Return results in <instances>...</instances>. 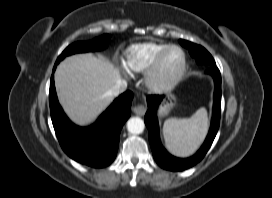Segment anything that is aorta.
Returning a JSON list of instances; mask_svg holds the SVG:
<instances>
[{"label":"aorta","mask_w":272,"mask_h":198,"mask_svg":"<svg viewBox=\"0 0 272 198\" xmlns=\"http://www.w3.org/2000/svg\"><path fill=\"white\" fill-rule=\"evenodd\" d=\"M145 127L144 121L139 117H132L127 122V129L131 134H140Z\"/></svg>","instance_id":"1"}]
</instances>
